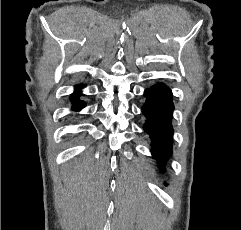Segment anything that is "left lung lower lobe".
<instances>
[{"instance_id":"obj_1","label":"left lung lower lobe","mask_w":241,"mask_h":230,"mask_svg":"<svg viewBox=\"0 0 241 230\" xmlns=\"http://www.w3.org/2000/svg\"><path fill=\"white\" fill-rule=\"evenodd\" d=\"M144 94L147 100L142 112L147 121L143 128L153 141V156L164 163L172 153V92L165 84L159 83L147 88Z\"/></svg>"}]
</instances>
